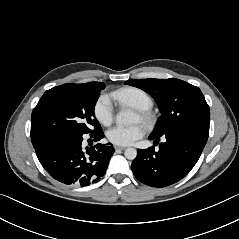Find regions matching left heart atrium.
<instances>
[{"label": "left heart atrium", "mask_w": 239, "mask_h": 239, "mask_svg": "<svg viewBox=\"0 0 239 239\" xmlns=\"http://www.w3.org/2000/svg\"><path fill=\"white\" fill-rule=\"evenodd\" d=\"M145 133V128L141 124L130 126L115 125L107 132V138L110 142L119 146H127L140 139Z\"/></svg>", "instance_id": "obj_1"}]
</instances>
